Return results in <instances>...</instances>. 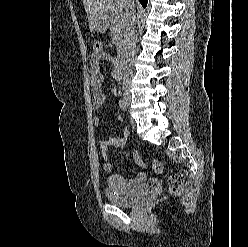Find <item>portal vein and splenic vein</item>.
I'll return each mask as SVG.
<instances>
[{"label": "portal vein and splenic vein", "instance_id": "portal-vein-and-splenic-vein-1", "mask_svg": "<svg viewBox=\"0 0 248 247\" xmlns=\"http://www.w3.org/2000/svg\"><path fill=\"white\" fill-rule=\"evenodd\" d=\"M115 15H116V16H119V14H118V13H115Z\"/></svg>", "mask_w": 248, "mask_h": 247}]
</instances>
